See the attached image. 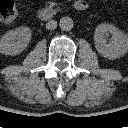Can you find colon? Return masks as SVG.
<instances>
[{
    "label": "colon",
    "instance_id": "obj_1",
    "mask_svg": "<svg viewBox=\"0 0 128 128\" xmlns=\"http://www.w3.org/2000/svg\"><path fill=\"white\" fill-rule=\"evenodd\" d=\"M17 14L15 0H0V23L12 24L17 18Z\"/></svg>",
    "mask_w": 128,
    "mask_h": 128
}]
</instances>
